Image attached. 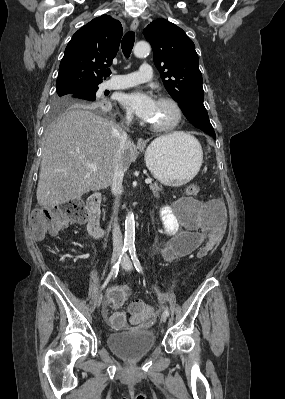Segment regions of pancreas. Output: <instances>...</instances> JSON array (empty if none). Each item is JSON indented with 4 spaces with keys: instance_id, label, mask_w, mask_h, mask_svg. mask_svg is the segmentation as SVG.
<instances>
[{
    "instance_id": "obj_1",
    "label": "pancreas",
    "mask_w": 285,
    "mask_h": 399,
    "mask_svg": "<svg viewBox=\"0 0 285 399\" xmlns=\"http://www.w3.org/2000/svg\"><path fill=\"white\" fill-rule=\"evenodd\" d=\"M150 190L152 191L154 197L158 198L160 192H162V186L159 185L158 183H153L149 185Z\"/></svg>"
}]
</instances>
